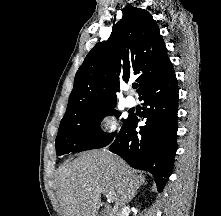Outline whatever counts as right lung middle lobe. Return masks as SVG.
Listing matches in <instances>:
<instances>
[{"mask_svg": "<svg viewBox=\"0 0 221 216\" xmlns=\"http://www.w3.org/2000/svg\"><path fill=\"white\" fill-rule=\"evenodd\" d=\"M114 107L115 104H111L88 110L77 116L63 118L56 138L57 156L99 149L110 144L116 132L104 133L100 129V122L107 115L119 116L121 114ZM128 120L129 117L123 120L121 129Z\"/></svg>", "mask_w": 221, "mask_h": 216, "instance_id": "1", "label": "right lung middle lobe"}]
</instances>
